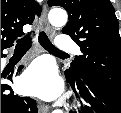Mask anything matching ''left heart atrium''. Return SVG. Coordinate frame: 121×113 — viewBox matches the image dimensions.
<instances>
[{"label": "left heart atrium", "instance_id": "left-heart-atrium-1", "mask_svg": "<svg viewBox=\"0 0 121 113\" xmlns=\"http://www.w3.org/2000/svg\"><path fill=\"white\" fill-rule=\"evenodd\" d=\"M21 84L27 93L44 99H55L62 92V81L55 66L45 60L32 64L24 74Z\"/></svg>", "mask_w": 121, "mask_h": 113}]
</instances>
